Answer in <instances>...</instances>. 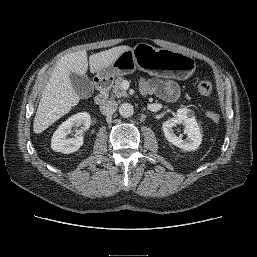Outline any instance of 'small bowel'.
<instances>
[{"label": "small bowel", "mask_w": 257, "mask_h": 257, "mask_svg": "<svg viewBox=\"0 0 257 257\" xmlns=\"http://www.w3.org/2000/svg\"><path fill=\"white\" fill-rule=\"evenodd\" d=\"M141 88L145 94H155L170 102L177 100L180 96V88L172 80L142 79Z\"/></svg>", "instance_id": "c3829d8e"}]
</instances>
